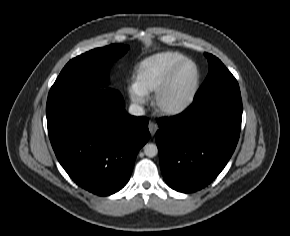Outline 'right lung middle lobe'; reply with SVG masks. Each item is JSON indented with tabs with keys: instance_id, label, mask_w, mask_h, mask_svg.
Listing matches in <instances>:
<instances>
[{
	"instance_id": "right-lung-middle-lobe-1",
	"label": "right lung middle lobe",
	"mask_w": 290,
	"mask_h": 236,
	"mask_svg": "<svg viewBox=\"0 0 290 236\" xmlns=\"http://www.w3.org/2000/svg\"><path fill=\"white\" fill-rule=\"evenodd\" d=\"M127 50L126 45H109L73 58L63 68L50 91L97 89L104 86L112 63Z\"/></svg>"
}]
</instances>
